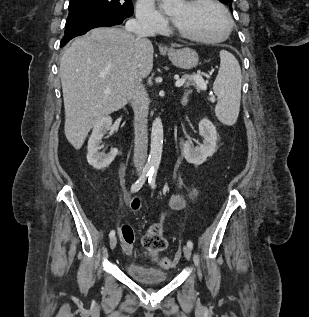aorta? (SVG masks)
Instances as JSON below:
<instances>
[{
	"label": "aorta",
	"mask_w": 309,
	"mask_h": 317,
	"mask_svg": "<svg viewBox=\"0 0 309 317\" xmlns=\"http://www.w3.org/2000/svg\"><path fill=\"white\" fill-rule=\"evenodd\" d=\"M181 0H162L163 8L170 10ZM163 150V125L160 118H156L152 124L151 130V149L148 158V164L151 167H158L161 161Z\"/></svg>",
	"instance_id": "762f6f07"
}]
</instances>
